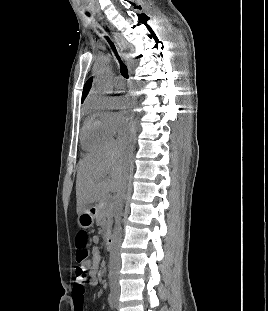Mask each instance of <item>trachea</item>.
Instances as JSON below:
<instances>
[{"instance_id":"1","label":"trachea","mask_w":268,"mask_h":311,"mask_svg":"<svg viewBox=\"0 0 268 311\" xmlns=\"http://www.w3.org/2000/svg\"><path fill=\"white\" fill-rule=\"evenodd\" d=\"M106 39L109 42V44L111 45L119 63H120V72H121L122 76L128 79V69H127L126 65L121 61L120 57L117 55V50H116L114 44L110 41V39L108 37H106Z\"/></svg>"}]
</instances>
